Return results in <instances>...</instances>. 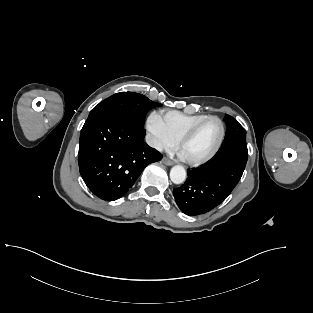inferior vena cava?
Wrapping results in <instances>:
<instances>
[{"label":"inferior vena cava","instance_id":"inferior-vena-cava-1","mask_svg":"<svg viewBox=\"0 0 313 313\" xmlns=\"http://www.w3.org/2000/svg\"><path fill=\"white\" fill-rule=\"evenodd\" d=\"M146 142L153 148L159 150V151H162V145L161 143L156 139L154 138L152 135L148 134L146 136Z\"/></svg>","mask_w":313,"mask_h":313}]
</instances>
